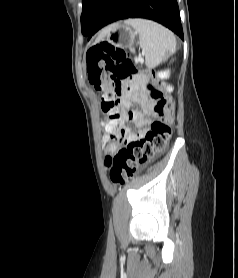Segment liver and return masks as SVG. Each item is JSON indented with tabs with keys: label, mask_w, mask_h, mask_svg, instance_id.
I'll return each instance as SVG.
<instances>
[{
	"label": "liver",
	"mask_w": 238,
	"mask_h": 278,
	"mask_svg": "<svg viewBox=\"0 0 238 278\" xmlns=\"http://www.w3.org/2000/svg\"><path fill=\"white\" fill-rule=\"evenodd\" d=\"M105 33H106L105 30H103L99 35V37L97 38V41H100L105 36Z\"/></svg>",
	"instance_id": "6515ba94"
}]
</instances>
